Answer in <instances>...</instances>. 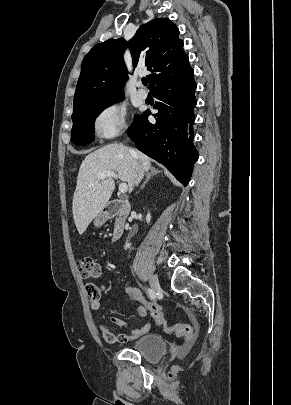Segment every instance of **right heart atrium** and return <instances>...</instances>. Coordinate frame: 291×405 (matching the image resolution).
<instances>
[{
  "mask_svg": "<svg viewBox=\"0 0 291 405\" xmlns=\"http://www.w3.org/2000/svg\"><path fill=\"white\" fill-rule=\"evenodd\" d=\"M97 138L111 139L127 128V110L123 105L113 103L101 109L93 121Z\"/></svg>",
  "mask_w": 291,
  "mask_h": 405,
  "instance_id": "obj_1",
  "label": "right heart atrium"
}]
</instances>
